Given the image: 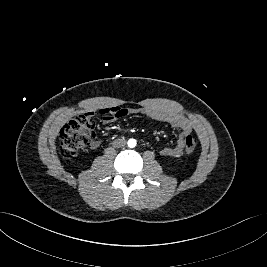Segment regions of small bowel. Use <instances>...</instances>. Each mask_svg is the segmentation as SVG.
Segmentation results:
<instances>
[{
    "mask_svg": "<svg viewBox=\"0 0 267 267\" xmlns=\"http://www.w3.org/2000/svg\"><path fill=\"white\" fill-rule=\"evenodd\" d=\"M88 115H101L105 122L110 123L115 119L125 116L126 114H140L153 120L165 122L175 129L180 131L179 137L173 146L163 147L160 154L165 157H179L182 155L185 147V137L192 133L194 129L193 123L185 116L171 111L163 110L156 107H141V108H106L99 111L87 112ZM101 140L91 142V148L100 147Z\"/></svg>",
    "mask_w": 267,
    "mask_h": 267,
    "instance_id": "c3829d8e",
    "label": "small bowel"
}]
</instances>
